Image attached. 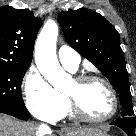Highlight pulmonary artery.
Listing matches in <instances>:
<instances>
[{
    "mask_svg": "<svg viewBox=\"0 0 136 136\" xmlns=\"http://www.w3.org/2000/svg\"><path fill=\"white\" fill-rule=\"evenodd\" d=\"M61 64L70 71H76L80 63L79 54L69 46H61L58 50Z\"/></svg>",
    "mask_w": 136,
    "mask_h": 136,
    "instance_id": "1",
    "label": "pulmonary artery"
}]
</instances>
